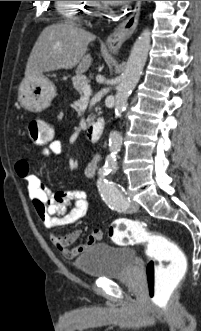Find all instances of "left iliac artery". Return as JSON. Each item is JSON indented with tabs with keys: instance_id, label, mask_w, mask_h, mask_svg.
I'll list each match as a JSON object with an SVG mask.
<instances>
[{
	"instance_id": "1",
	"label": "left iliac artery",
	"mask_w": 201,
	"mask_h": 331,
	"mask_svg": "<svg viewBox=\"0 0 201 331\" xmlns=\"http://www.w3.org/2000/svg\"><path fill=\"white\" fill-rule=\"evenodd\" d=\"M110 172L111 170L101 175L97 181L98 188L103 200L112 210L123 212L128 208L130 200L119 185L106 178Z\"/></svg>"
}]
</instances>
